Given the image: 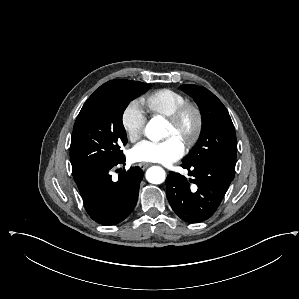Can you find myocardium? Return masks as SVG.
Segmentation results:
<instances>
[{"instance_id":"1","label":"myocardium","mask_w":299,"mask_h":299,"mask_svg":"<svg viewBox=\"0 0 299 299\" xmlns=\"http://www.w3.org/2000/svg\"><path fill=\"white\" fill-rule=\"evenodd\" d=\"M189 115L194 117V124L190 135L183 141L184 146L187 148L193 146L200 136L202 128V112L199 106L193 102L186 101L168 117L169 123L175 129H179Z\"/></svg>"}]
</instances>
